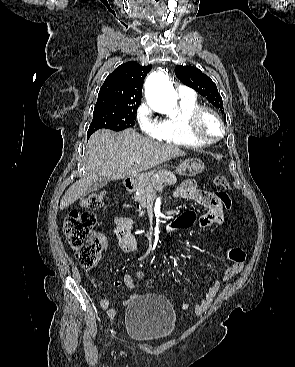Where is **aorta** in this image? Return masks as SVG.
<instances>
[{
	"label": "aorta",
	"mask_w": 295,
	"mask_h": 367,
	"mask_svg": "<svg viewBox=\"0 0 295 367\" xmlns=\"http://www.w3.org/2000/svg\"><path fill=\"white\" fill-rule=\"evenodd\" d=\"M145 97L154 111L169 117L177 115L176 92L163 72L156 71L148 76L145 83Z\"/></svg>",
	"instance_id": "aorta-1"
}]
</instances>
